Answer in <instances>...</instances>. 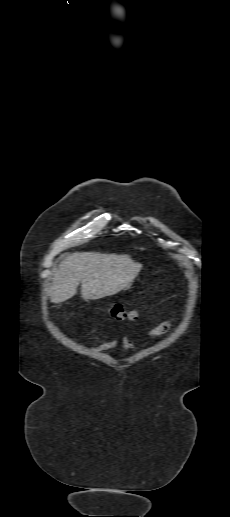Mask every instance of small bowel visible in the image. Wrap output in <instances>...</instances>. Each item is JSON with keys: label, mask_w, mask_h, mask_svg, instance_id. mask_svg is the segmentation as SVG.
Here are the masks:
<instances>
[{"label": "small bowel", "mask_w": 230, "mask_h": 517, "mask_svg": "<svg viewBox=\"0 0 230 517\" xmlns=\"http://www.w3.org/2000/svg\"><path fill=\"white\" fill-rule=\"evenodd\" d=\"M172 323H173L172 319H167V320L161 322L160 324L153 326L149 330L148 333L152 337L160 336V335L166 333L170 329ZM96 339L101 342L100 346L98 347L99 350H110L117 345V340H102L98 337H96ZM124 346L129 351L134 350V345L129 339L125 340Z\"/></svg>", "instance_id": "obj_1"}]
</instances>
